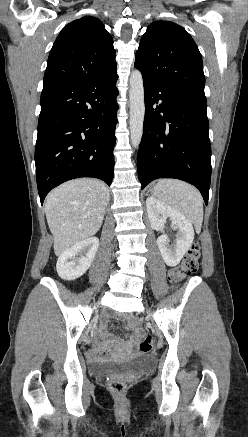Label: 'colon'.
I'll list each match as a JSON object with an SVG mask.
<instances>
[{
    "instance_id": "1",
    "label": "colon",
    "mask_w": 248,
    "mask_h": 437,
    "mask_svg": "<svg viewBox=\"0 0 248 437\" xmlns=\"http://www.w3.org/2000/svg\"><path fill=\"white\" fill-rule=\"evenodd\" d=\"M199 258H200V247L199 244L195 242L189 248V250L183 257L181 263L178 266L169 270L168 278L170 282L173 284H177L180 281H182L187 275H190L191 273L195 272L198 268ZM153 346H154L153 338L151 336H147L141 341L139 345V350L142 353H148L152 350ZM108 386L110 390L118 396H122L126 391L125 382L119 379H115V378L109 379Z\"/></svg>"
}]
</instances>
